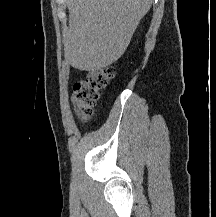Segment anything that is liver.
<instances>
[{
	"label": "liver",
	"mask_w": 216,
	"mask_h": 217,
	"mask_svg": "<svg viewBox=\"0 0 216 217\" xmlns=\"http://www.w3.org/2000/svg\"><path fill=\"white\" fill-rule=\"evenodd\" d=\"M151 5L152 0H67L69 64L94 72L117 61Z\"/></svg>",
	"instance_id": "1"
}]
</instances>
